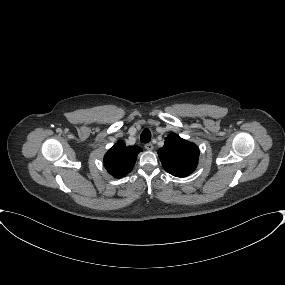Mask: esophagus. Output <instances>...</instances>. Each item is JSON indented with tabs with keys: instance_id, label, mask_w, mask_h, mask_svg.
I'll return each mask as SVG.
<instances>
[{
	"instance_id": "esophagus-1",
	"label": "esophagus",
	"mask_w": 285,
	"mask_h": 285,
	"mask_svg": "<svg viewBox=\"0 0 285 285\" xmlns=\"http://www.w3.org/2000/svg\"><path fill=\"white\" fill-rule=\"evenodd\" d=\"M153 144L152 143H147L145 144V149L148 150V151H152L153 150Z\"/></svg>"
}]
</instances>
